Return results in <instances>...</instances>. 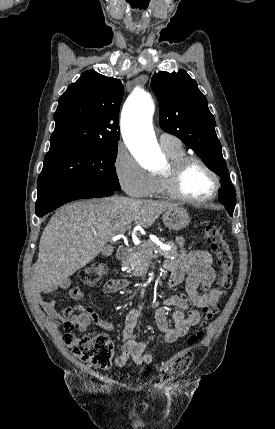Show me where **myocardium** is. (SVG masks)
<instances>
[{"label":"myocardium","instance_id":"1","mask_svg":"<svg viewBox=\"0 0 275 429\" xmlns=\"http://www.w3.org/2000/svg\"><path fill=\"white\" fill-rule=\"evenodd\" d=\"M193 163L201 165L211 176L214 183L212 193L204 199L188 197L180 189L181 177L186 168ZM159 175L162 179L166 195L192 205H204L213 201L218 196L221 187L220 178L215 170L205 160L195 155H184L170 160L166 168L163 169Z\"/></svg>","mask_w":275,"mask_h":429}]
</instances>
